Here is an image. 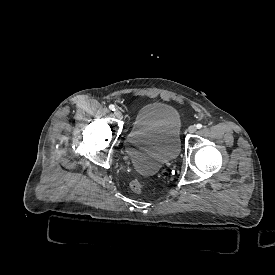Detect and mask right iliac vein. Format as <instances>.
<instances>
[{
    "instance_id": "63e3f726",
    "label": "right iliac vein",
    "mask_w": 275,
    "mask_h": 275,
    "mask_svg": "<svg viewBox=\"0 0 275 275\" xmlns=\"http://www.w3.org/2000/svg\"><path fill=\"white\" fill-rule=\"evenodd\" d=\"M115 116L118 118V119H122L123 118V115L120 111H115Z\"/></svg>"
}]
</instances>
